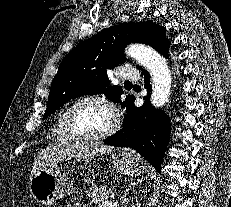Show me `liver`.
Returning <instances> with one entry per match:
<instances>
[{"mask_svg": "<svg viewBox=\"0 0 231 207\" xmlns=\"http://www.w3.org/2000/svg\"><path fill=\"white\" fill-rule=\"evenodd\" d=\"M113 147L97 144H71L66 147H52L40 152L34 160L31 177L39 170L54 166L62 160L91 159L99 154L111 152Z\"/></svg>", "mask_w": 231, "mask_h": 207, "instance_id": "obj_1", "label": "liver"}]
</instances>
